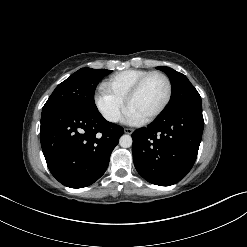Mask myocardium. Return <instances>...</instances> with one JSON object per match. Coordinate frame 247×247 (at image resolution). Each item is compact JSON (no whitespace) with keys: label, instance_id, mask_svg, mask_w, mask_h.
Returning <instances> with one entry per match:
<instances>
[{"label":"myocardium","instance_id":"myocardium-1","mask_svg":"<svg viewBox=\"0 0 247 247\" xmlns=\"http://www.w3.org/2000/svg\"><path fill=\"white\" fill-rule=\"evenodd\" d=\"M152 76H161L165 80L166 85H167V94L161 106L156 111H154L152 114L142 119L143 123H149L155 120L167 108V106L169 105L171 101L172 93H173V85H172V82L169 76L161 71H151L145 76H143L140 80H138L137 83L128 92L125 98V104L127 108L131 100L139 93V91L141 90L143 85L146 83V81Z\"/></svg>","mask_w":247,"mask_h":247}]
</instances>
